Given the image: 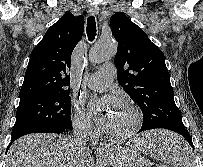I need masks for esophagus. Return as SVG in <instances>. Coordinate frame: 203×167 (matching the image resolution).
Returning a JSON list of instances; mask_svg holds the SVG:
<instances>
[{"mask_svg": "<svg viewBox=\"0 0 203 167\" xmlns=\"http://www.w3.org/2000/svg\"><path fill=\"white\" fill-rule=\"evenodd\" d=\"M89 13L91 15H97L99 13V8L96 5H90L89 6ZM109 149H110V144L106 143V142H101L99 147H98V150L101 153H106L109 151Z\"/></svg>", "mask_w": 203, "mask_h": 167, "instance_id": "1", "label": "esophagus"}]
</instances>
